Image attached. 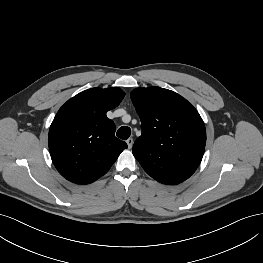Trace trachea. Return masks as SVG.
Listing matches in <instances>:
<instances>
[{"instance_id":"obj_1","label":"trachea","mask_w":263,"mask_h":263,"mask_svg":"<svg viewBox=\"0 0 263 263\" xmlns=\"http://www.w3.org/2000/svg\"><path fill=\"white\" fill-rule=\"evenodd\" d=\"M130 134H131V129L127 126H122L117 131V136L122 140L128 139Z\"/></svg>"}]
</instances>
